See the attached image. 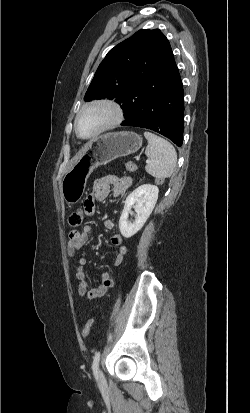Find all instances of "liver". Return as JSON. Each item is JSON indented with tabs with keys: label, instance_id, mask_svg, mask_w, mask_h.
Here are the masks:
<instances>
[{
	"label": "liver",
	"instance_id": "1",
	"mask_svg": "<svg viewBox=\"0 0 250 413\" xmlns=\"http://www.w3.org/2000/svg\"><path fill=\"white\" fill-rule=\"evenodd\" d=\"M88 147H89V145L86 146L83 150H81V151L76 155V157L74 158V161L78 160V158H79L82 154H84V152L88 149Z\"/></svg>",
	"mask_w": 250,
	"mask_h": 413
}]
</instances>
